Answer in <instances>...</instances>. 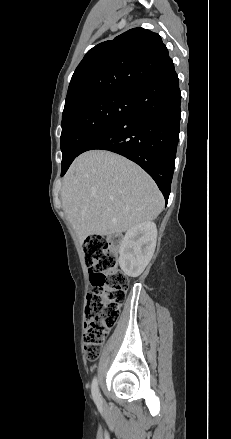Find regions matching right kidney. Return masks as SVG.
Returning a JSON list of instances; mask_svg holds the SVG:
<instances>
[{
    "instance_id": "obj_1",
    "label": "right kidney",
    "mask_w": 231,
    "mask_h": 439,
    "mask_svg": "<svg viewBox=\"0 0 231 439\" xmlns=\"http://www.w3.org/2000/svg\"><path fill=\"white\" fill-rule=\"evenodd\" d=\"M157 239L154 222H144L129 229L120 246L119 265L130 276H139L151 260Z\"/></svg>"
}]
</instances>
